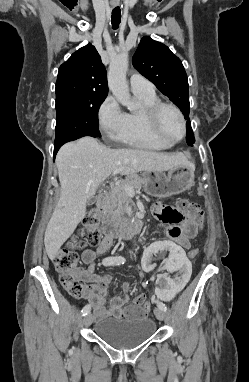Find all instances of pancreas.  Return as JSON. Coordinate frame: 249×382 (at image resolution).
I'll return each instance as SVG.
<instances>
[{
	"instance_id": "obj_1",
	"label": "pancreas",
	"mask_w": 249,
	"mask_h": 382,
	"mask_svg": "<svg viewBox=\"0 0 249 382\" xmlns=\"http://www.w3.org/2000/svg\"><path fill=\"white\" fill-rule=\"evenodd\" d=\"M125 185L131 186L133 189H141L147 185L144 178L138 174L128 175L119 185L113 187L109 194L108 213L120 216L123 213L124 204L130 201Z\"/></svg>"
}]
</instances>
